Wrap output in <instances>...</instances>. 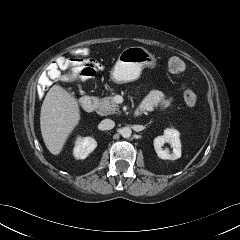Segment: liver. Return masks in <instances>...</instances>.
I'll list each match as a JSON object with an SVG mask.
<instances>
[{
	"label": "liver",
	"instance_id": "1",
	"mask_svg": "<svg viewBox=\"0 0 240 240\" xmlns=\"http://www.w3.org/2000/svg\"><path fill=\"white\" fill-rule=\"evenodd\" d=\"M77 99L58 84L45 96L40 113L41 134L46 148L58 155L80 121Z\"/></svg>",
	"mask_w": 240,
	"mask_h": 240
}]
</instances>
